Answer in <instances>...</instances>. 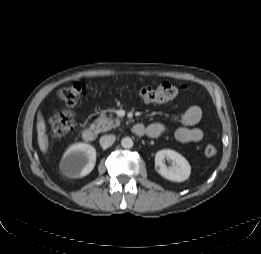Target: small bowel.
<instances>
[{"instance_id": "c3829d8e", "label": "small bowel", "mask_w": 261, "mask_h": 254, "mask_svg": "<svg viewBox=\"0 0 261 254\" xmlns=\"http://www.w3.org/2000/svg\"><path fill=\"white\" fill-rule=\"evenodd\" d=\"M201 118L202 110L199 106L189 107L180 117V126L173 131L174 137L182 143L201 141L204 137V133L200 128L195 127ZM136 125L143 129L142 134L138 135L146 134L148 137L156 138L168 133V129L160 123H153L148 126H144L143 124Z\"/></svg>"}]
</instances>
